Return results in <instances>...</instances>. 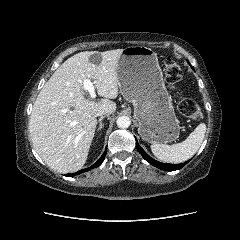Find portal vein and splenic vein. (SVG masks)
I'll use <instances>...</instances> for the list:
<instances>
[{"instance_id":"1","label":"portal vein and splenic vein","mask_w":240,"mask_h":240,"mask_svg":"<svg viewBox=\"0 0 240 240\" xmlns=\"http://www.w3.org/2000/svg\"><path fill=\"white\" fill-rule=\"evenodd\" d=\"M84 90L88 91L91 98L96 97V89L93 83L89 79H84L82 81Z\"/></svg>"}]
</instances>
